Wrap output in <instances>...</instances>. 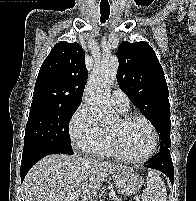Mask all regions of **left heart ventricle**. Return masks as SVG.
Listing matches in <instances>:
<instances>
[{
    "label": "left heart ventricle",
    "instance_id": "obj_1",
    "mask_svg": "<svg viewBox=\"0 0 196 201\" xmlns=\"http://www.w3.org/2000/svg\"><path fill=\"white\" fill-rule=\"evenodd\" d=\"M111 130L119 133L123 147L134 157L145 155L152 146L151 130L142 121H134L127 125H121L118 119L111 126Z\"/></svg>",
    "mask_w": 196,
    "mask_h": 201
}]
</instances>
